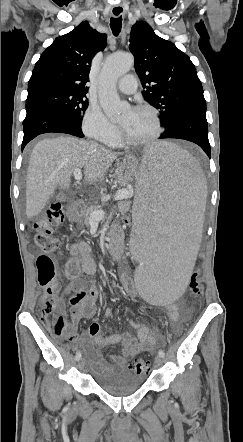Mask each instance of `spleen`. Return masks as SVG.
Masks as SVG:
<instances>
[{
    "label": "spleen",
    "instance_id": "spleen-1",
    "mask_svg": "<svg viewBox=\"0 0 243 442\" xmlns=\"http://www.w3.org/2000/svg\"><path fill=\"white\" fill-rule=\"evenodd\" d=\"M135 177L132 258L137 296L151 307L181 302L201 237L206 179L196 159L167 142L142 147ZM154 192V193H142Z\"/></svg>",
    "mask_w": 243,
    "mask_h": 442
}]
</instances>
